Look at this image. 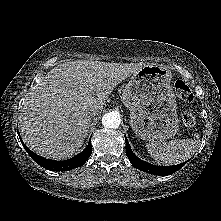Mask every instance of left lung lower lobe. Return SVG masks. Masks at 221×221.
<instances>
[{
  "label": "left lung lower lobe",
  "mask_w": 221,
  "mask_h": 221,
  "mask_svg": "<svg viewBox=\"0 0 221 221\" xmlns=\"http://www.w3.org/2000/svg\"><path fill=\"white\" fill-rule=\"evenodd\" d=\"M126 140V154L130 160V162L132 163V165L142 171H145L147 173H151V174H156V175H170L176 171H178L180 168H182L186 162L182 163V164H178V165H173V166H155V165H151L141 159H139L131 150V147L129 145V142L127 140V138L125 137Z\"/></svg>",
  "instance_id": "0a47b994"
}]
</instances>
